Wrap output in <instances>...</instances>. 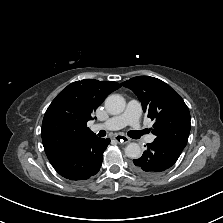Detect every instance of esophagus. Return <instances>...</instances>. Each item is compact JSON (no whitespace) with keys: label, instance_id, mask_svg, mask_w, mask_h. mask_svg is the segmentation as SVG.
<instances>
[{"label":"esophagus","instance_id":"obj_1","mask_svg":"<svg viewBox=\"0 0 223 223\" xmlns=\"http://www.w3.org/2000/svg\"><path fill=\"white\" fill-rule=\"evenodd\" d=\"M117 142L122 143V144H127L130 142V139L122 134H116L113 137Z\"/></svg>","mask_w":223,"mask_h":223}]
</instances>
